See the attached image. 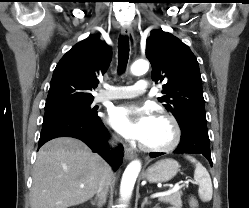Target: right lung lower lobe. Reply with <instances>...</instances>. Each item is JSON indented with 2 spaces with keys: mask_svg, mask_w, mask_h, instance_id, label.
<instances>
[{
  "mask_svg": "<svg viewBox=\"0 0 249 208\" xmlns=\"http://www.w3.org/2000/svg\"><path fill=\"white\" fill-rule=\"evenodd\" d=\"M61 136H70L85 142L93 152L101 155L114 170H117L123 160V146L110 151L107 143L108 133L97 115L86 118L75 114L45 113L40 134V148L47 141Z\"/></svg>",
  "mask_w": 249,
  "mask_h": 208,
  "instance_id": "98d812e1",
  "label": "right lung lower lobe"
}]
</instances>
